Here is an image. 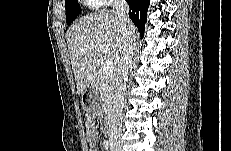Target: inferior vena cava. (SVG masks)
Here are the masks:
<instances>
[{
  "label": "inferior vena cava",
  "mask_w": 231,
  "mask_h": 151,
  "mask_svg": "<svg viewBox=\"0 0 231 151\" xmlns=\"http://www.w3.org/2000/svg\"><path fill=\"white\" fill-rule=\"evenodd\" d=\"M113 12L118 17L121 31L126 41L119 58L116 74L114 77V100L111 115L109 118V145L111 147L119 144L122 133V112L124 108V92L126 90L125 79L135 48V41L132 31V23L129 19V6L125 0L113 1Z\"/></svg>",
  "instance_id": "602c4592"
}]
</instances>
